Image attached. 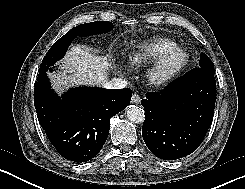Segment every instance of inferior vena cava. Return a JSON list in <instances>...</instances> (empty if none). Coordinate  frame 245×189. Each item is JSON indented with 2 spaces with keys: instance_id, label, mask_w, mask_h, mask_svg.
I'll use <instances>...</instances> for the list:
<instances>
[{
  "instance_id": "obj_1",
  "label": "inferior vena cava",
  "mask_w": 245,
  "mask_h": 189,
  "mask_svg": "<svg viewBox=\"0 0 245 189\" xmlns=\"http://www.w3.org/2000/svg\"><path fill=\"white\" fill-rule=\"evenodd\" d=\"M127 82L121 78H113L111 81L107 82L104 87L107 89H122L125 88Z\"/></svg>"
}]
</instances>
